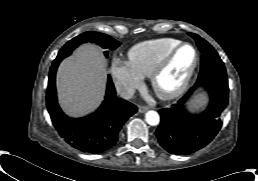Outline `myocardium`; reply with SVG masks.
I'll use <instances>...</instances> for the list:
<instances>
[{"mask_svg":"<svg viewBox=\"0 0 258 181\" xmlns=\"http://www.w3.org/2000/svg\"><path fill=\"white\" fill-rule=\"evenodd\" d=\"M190 47L193 49L195 54V59L192 64V66L189 68L185 76L183 77L182 81L172 90H163L159 86V79L162 76V74L165 72L166 69L170 67L172 64L175 56L179 52V50L183 47ZM199 53L197 48L188 42H180L178 45H176L172 50H170L165 56H163L160 61L157 63L155 68L153 69L151 75H150V82L152 89L154 90L155 94L163 99V100H171L178 96H180L188 87L198 65H199Z\"/></svg>","mask_w":258,"mask_h":181,"instance_id":"obj_1","label":"myocardium"}]
</instances>
